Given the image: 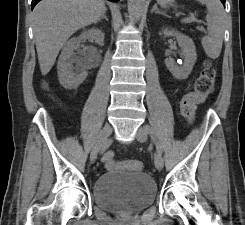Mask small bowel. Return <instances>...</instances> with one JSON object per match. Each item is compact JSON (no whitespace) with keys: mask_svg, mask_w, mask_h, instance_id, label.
Listing matches in <instances>:
<instances>
[{"mask_svg":"<svg viewBox=\"0 0 245 225\" xmlns=\"http://www.w3.org/2000/svg\"><path fill=\"white\" fill-rule=\"evenodd\" d=\"M41 84L44 86H48L49 85V81L48 80H42Z\"/></svg>","mask_w":245,"mask_h":225,"instance_id":"obj_1","label":"small bowel"}]
</instances>
